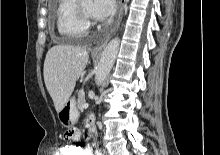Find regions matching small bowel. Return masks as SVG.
I'll use <instances>...</instances> for the list:
<instances>
[{
  "instance_id": "obj_1",
  "label": "small bowel",
  "mask_w": 220,
  "mask_h": 155,
  "mask_svg": "<svg viewBox=\"0 0 220 155\" xmlns=\"http://www.w3.org/2000/svg\"><path fill=\"white\" fill-rule=\"evenodd\" d=\"M64 132H63V139L64 141H79L80 139V130H76V126H65L64 128ZM63 146H74V145H63ZM81 150H83V155H91V152L89 149H83L81 148Z\"/></svg>"
}]
</instances>
